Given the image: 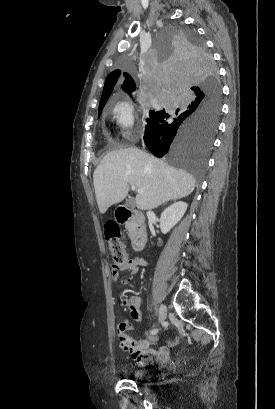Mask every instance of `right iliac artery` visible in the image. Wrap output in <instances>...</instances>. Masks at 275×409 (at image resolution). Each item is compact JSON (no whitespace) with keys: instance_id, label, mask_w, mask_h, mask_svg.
Here are the masks:
<instances>
[{"instance_id":"82829eb1","label":"right iliac artery","mask_w":275,"mask_h":409,"mask_svg":"<svg viewBox=\"0 0 275 409\" xmlns=\"http://www.w3.org/2000/svg\"><path fill=\"white\" fill-rule=\"evenodd\" d=\"M158 332V329H154V331H152V333H157Z\"/></svg>"}]
</instances>
